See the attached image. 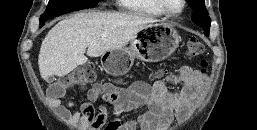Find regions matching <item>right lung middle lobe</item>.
Instances as JSON below:
<instances>
[{
	"mask_svg": "<svg viewBox=\"0 0 257 130\" xmlns=\"http://www.w3.org/2000/svg\"><path fill=\"white\" fill-rule=\"evenodd\" d=\"M98 0H49L48 7L40 17V25L43 26L45 21L54 16L67 12L90 8L97 5Z\"/></svg>",
	"mask_w": 257,
	"mask_h": 130,
	"instance_id": "obj_1",
	"label": "right lung middle lobe"
}]
</instances>
